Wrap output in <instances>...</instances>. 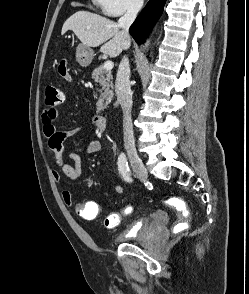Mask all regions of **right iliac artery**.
<instances>
[{
	"instance_id": "right-iliac-artery-1",
	"label": "right iliac artery",
	"mask_w": 249,
	"mask_h": 294,
	"mask_svg": "<svg viewBox=\"0 0 249 294\" xmlns=\"http://www.w3.org/2000/svg\"><path fill=\"white\" fill-rule=\"evenodd\" d=\"M118 169L122 178L125 181L132 182V178L130 177V169L126 159V155L124 153H121L118 157Z\"/></svg>"
}]
</instances>
